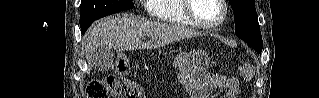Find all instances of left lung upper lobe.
Instances as JSON below:
<instances>
[{
  "mask_svg": "<svg viewBox=\"0 0 319 98\" xmlns=\"http://www.w3.org/2000/svg\"><path fill=\"white\" fill-rule=\"evenodd\" d=\"M229 2L234 11L236 35L260 53L263 42L255 0H229Z\"/></svg>",
  "mask_w": 319,
  "mask_h": 98,
  "instance_id": "left-lung-upper-lobe-1",
  "label": "left lung upper lobe"
}]
</instances>
